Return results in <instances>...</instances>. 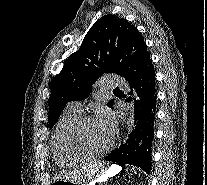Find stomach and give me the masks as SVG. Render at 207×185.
I'll return each instance as SVG.
<instances>
[{
	"instance_id": "0dacf381",
	"label": "stomach",
	"mask_w": 207,
	"mask_h": 185,
	"mask_svg": "<svg viewBox=\"0 0 207 185\" xmlns=\"http://www.w3.org/2000/svg\"><path fill=\"white\" fill-rule=\"evenodd\" d=\"M121 171V168L117 165H112L109 167L101 176H99L96 181L91 182L90 185H97L101 182H106L111 177L117 175ZM75 183H72L67 180L59 179L53 182V185H73Z\"/></svg>"
}]
</instances>
